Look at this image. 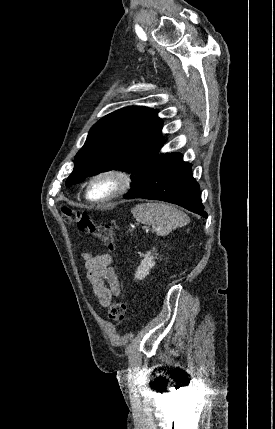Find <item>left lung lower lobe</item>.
Segmentation results:
<instances>
[{
  "label": "left lung lower lobe",
  "instance_id": "obj_1",
  "mask_svg": "<svg viewBox=\"0 0 275 429\" xmlns=\"http://www.w3.org/2000/svg\"><path fill=\"white\" fill-rule=\"evenodd\" d=\"M179 152L158 154L144 169L125 199L143 198L180 205L207 217L198 183L192 176L191 164Z\"/></svg>",
  "mask_w": 275,
  "mask_h": 429
}]
</instances>
